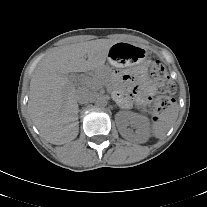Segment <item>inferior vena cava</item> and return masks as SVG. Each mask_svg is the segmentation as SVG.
<instances>
[{"instance_id":"inferior-vena-cava-1","label":"inferior vena cava","mask_w":207,"mask_h":207,"mask_svg":"<svg viewBox=\"0 0 207 207\" xmlns=\"http://www.w3.org/2000/svg\"><path fill=\"white\" fill-rule=\"evenodd\" d=\"M93 99L94 93L90 89L86 87H81L77 90L76 100L78 103L86 104L93 101Z\"/></svg>"}]
</instances>
